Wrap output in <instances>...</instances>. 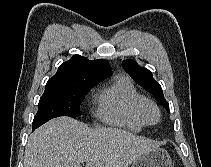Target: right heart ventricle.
<instances>
[{
  "mask_svg": "<svg viewBox=\"0 0 211 167\" xmlns=\"http://www.w3.org/2000/svg\"><path fill=\"white\" fill-rule=\"evenodd\" d=\"M144 99L133 82L121 75L99 93L96 115L108 124L138 131L146 124L139 111Z\"/></svg>",
  "mask_w": 211,
  "mask_h": 167,
  "instance_id": "1",
  "label": "right heart ventricle"
}]
</instances>
